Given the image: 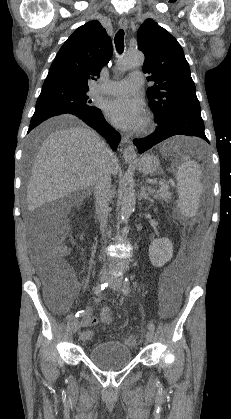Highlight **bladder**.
<instances>
[{
    "instance_id": "obj_1",
    "label": "bladder",
    "mask_w": 231,
    "mask_h": 419,
    "mask_svg": "<svg viewBox=\"0 0 231 419\" xmlns=\"http://www.w3.org/2000/svg\"><path fill=\"white\" fill-rule=\"evenodd\" d=\"M88 359L102 370H120L132 361L133 355L124 343L107 340L92 347L88 352Z\"/></svg>"
}]
</instances>
